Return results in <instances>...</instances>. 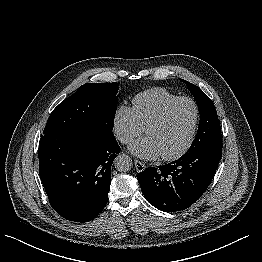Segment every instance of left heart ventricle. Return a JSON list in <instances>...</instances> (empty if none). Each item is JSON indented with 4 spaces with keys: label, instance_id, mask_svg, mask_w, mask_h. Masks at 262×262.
Here are the masks:
<instances>
[{
    "label": "left heart ventricle",
    "instance_id": "left-heart-ventricle-1",
    "mask_svg": "<svg viewBox=\"0 0 262 262\" xmlns=\"http://www.w3.org/2000/svg\"><path fill=\"white\" fill-rule=\"evenodd\" d=\"M194 114L193 105L188 101H182L170 110L162 124L147 131V136L154 139L161 155H171L186 143Z\"/></svg>",
    "mask_w": 262,
    "mask_h": 262
}]
</instances>
